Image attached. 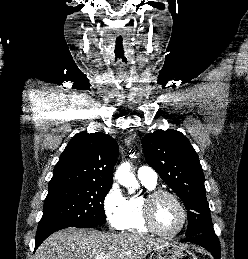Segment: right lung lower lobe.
<instances>
[{
    "instance_id": "1",
    "label": "right lung lower lobe",
    "mask_w": 248,
    "mask_h": 259,
    "mask_svg": "<svg viewBox=\"0 0 248 259\" xmlns=\"http://www.w3.org/2000/svg\"><path fill=\"white\" fill-rule=\"evenodd\" d=\"M70 226H66V225H54V226H50V227H45L42 229H38L37 230V234H36V240H35V249L52 233L60 230V229H64Z\"/></svg>"
}]
</instances>
